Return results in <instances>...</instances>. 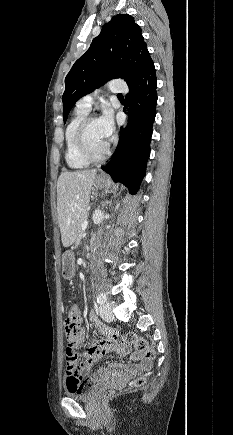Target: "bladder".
<instances>
[{"mask_svg": "<svg viewBox=\"0 0 233 435\" xmlns=\"http://www.w3.org/2000/svg\"><path fill=\"white\" fill-rule=\"evenodd\" d=\"M101 383H95L92 384L89 388V390H86L84 392H72V391H65V395L74 399L78 400H89L94 398L96 395L97 389L100 387Z\"/></svg>", "mask_w": 233, "mask_h": 435, "instance_id": "obj_1", "label": "bladder"}]
</instances>
